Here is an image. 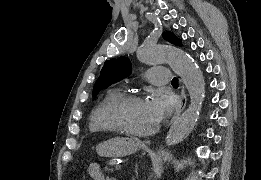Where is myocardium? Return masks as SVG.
<instances>
[{
    "instance_id": "f54148a6",
    "label": "myocardium",
    "mask_w": 261,
    "mask_h": 180,
    "mask_svg": "<svg viewBox=\"0 0 261 180\" xmlns=\"http://www.w3.org/2000/svg\"><path fill=\"white\" fill-rule=\"evenodd\" d=\"M142 98H143L142 95L137 92L126 93V94H123L120 98H118L117 101L113 104V106L109 109L108 117H109V120H110V123H111L115 136H127L132 139H151L157 134V132L160 129V119H158L157 124L149 133H147L143 136L137 137V136L126 135L122 129L120 122L115 117V112L118 109L128 106L133 101H136V100H139Z\"/></svg>"
}]
</instances>
